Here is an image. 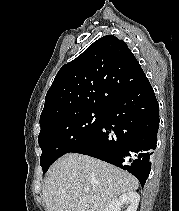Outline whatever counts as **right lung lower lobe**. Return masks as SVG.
<instances>
[{"label":"right lung lower lobe","mask_w":179,"mask_h":211,"mask_svg":"<svg viewBox=\"0 0 179 211\" xmlns=\"http://www.w3.org/2000/svg\"><path fill=\"white\" fill-rule=\"evenodd\" d=\"M159 105L145 76L111 102L96 133L71 152L89 155L132 173L143 187L156 149Z\"/></svg>","instance_id":"1"}]
</instances>
